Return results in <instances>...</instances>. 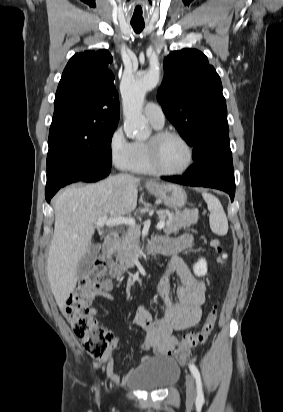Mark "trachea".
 Wrapping results in <instances>:
<instances>
[{
  "label": "trachea",
  "mask_w": 283,
  "mask_h": 412,
  "mask_svg": "<svg viewBox=\"0 0 283 412\" xmlns=\"http://www.w3.org/2000/svg\"><path fill=\"white\" fill-rule=\"evenodd\" d=\"M134 31L140 33L144 29V23H131Z\"/></svg>",
  "instance_id": "obj_1"
}]
</instances>
